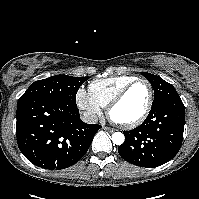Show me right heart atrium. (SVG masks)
<instances>
[{
    "label": "right heart atrium",
    "mask_w": 199,
    "mask_h": 199,
    "mask_svg": "<svg viewBox=\"0 0 199 199\" xmlns=\"http://www.w3.org/2000/svg\"><path fill=\"white\" fill-rule=\"evenodd\" d=\"M76 102L90 121L96 120L102 112V106L84 88L78 89L76 93Z\"/></svg>",
    "instance_id": "obj_1"
}]
</instances>
